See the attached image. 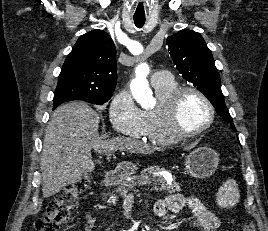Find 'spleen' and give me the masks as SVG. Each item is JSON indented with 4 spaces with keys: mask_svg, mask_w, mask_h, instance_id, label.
<instances>
[{
    "mask_svg": "<svg viewBox=\"0 0 268 231\" xmlns=\"http://www.w3.org/2000/svg\"><path fill=\"white\" fill-rule=\"evenodd\" d=\"M240 199L238 185L234 179H228L222 184L216 194V202L220 208L234 207Z\"/></svg>",
    "mask_w": 268,
    "mask_h": 231,
    "instance_id": "obj_1",
    "label": "spleen"
}]
</instances>
